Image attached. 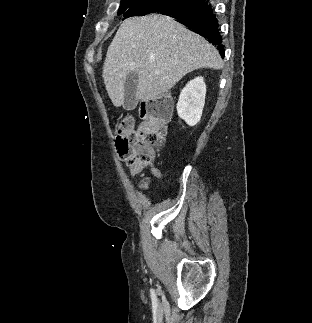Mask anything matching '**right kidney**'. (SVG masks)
<instances>
[{
  "mask_svg": "<svg viewBox=\"0 0 312 323\" xmlns=\"http://www.w3.org/2000/svg\"><path fill=\"white\" fill-rule=\"evenodd\" d=\"M205 94L206 84L201 76L190 80L183 88L179 96L177 112L179 118L185 120L188 126H196L200 122L205 106Z\"/></svg>",
  "mask_w": 312,
  "mask_h": 323,
  "instance_id": "1",
  "label": "right kidney"
}]
</instances>
